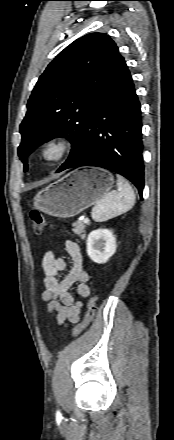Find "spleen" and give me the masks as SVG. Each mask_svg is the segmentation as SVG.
Returning <instances> with one entry per match:
<instances>
[{
  "label": "spleen",
  "mask_w": 174,
  "mask_h": 440,
  "mask_svg": "<svg viewBox=\"0 0 174 440\" xmlns=\"http://www.w3.org/2000/svg\"><path fill=\"white\" fill-rule=\"evenodd\" d=\"M135 203V194L129 182L117 175V191L105 194L92 209V219L104 222L129 211Z\"/></svg>",
  "instance_id": "1"
}]
</instances>
